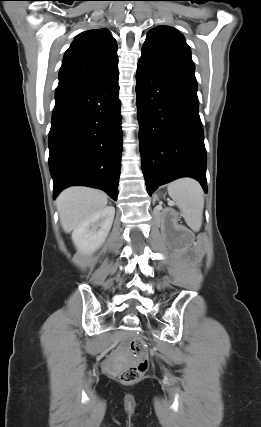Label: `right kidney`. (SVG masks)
Instances as JSON below:
<instances>
[{
    "mask_svg": "<svg viewBox=\"0 0 261 427\" xmlns=\"http://www.w3.org/2000/svg\"><path fill=\"white\" fill-rule=\"evenodd\" d=\"M114 215L115 208L107 206L80 223L72 232L78 251L89 254L99 249L109 234Z\"/></svg>",
    "mask_w": 261,
    "mask_h": 427,
    "instance_id": "obj_1",
    "label": "right kidney"
}]
</instances>
